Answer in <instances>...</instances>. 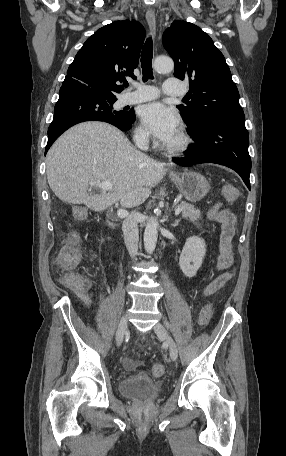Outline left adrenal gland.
<instances>
[{
  "instance_id": "obj_1",
  "label": "left adrenal gland",
  "mask_w": 286,
  "mask_h": 456,
  "mask_svg": "<svg viewBox=\"0 0 286 456\" xmlns=\"http://www.w3.org/2000/svg\"><path fill=\"white\" fill-rule=\"evenodd\" d=\"M179 222H180V219H175V221H174V223L172 224V226H173V227L178 226Z\"/></svg>"
}]
</instances>
